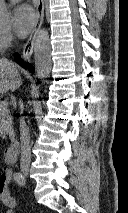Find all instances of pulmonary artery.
Instances as JSON below:
<instances>
[{"instance_id": "1", "label": "pulmonary artery", "mask_w": 128, "mask_h": 213, "mask_svg": "<svg viewBox=\"0 0 128 213\" xmlns=\"http://www.w3.org/2000/svg\"><path fill=\"white\" fill-rule=\"evenodd\" d=\"M11 1H13V2H18V1H21V0H11Z\"/></svg>"}]
</instances>
